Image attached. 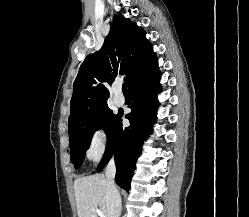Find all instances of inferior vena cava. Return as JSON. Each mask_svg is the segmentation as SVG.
I'll return each instance as SVG.
<instances>
[{"label": "inferior vena cava", "instance_id": "1", "mask_svg": "<svg viewBox=\"0 0 249 217\" xmlns=\"http://www.w3.org/2000/svg\"><path fill=\"white\" fill-rule=\"evenodd\" d=\"M116 174V167L114 159L112 158L106 166V203L109 211V217H119L121 214V198L116 188L114 178Z\"/></svg>", "mask_w": 249, "mask_h": 217}]
</instances>
